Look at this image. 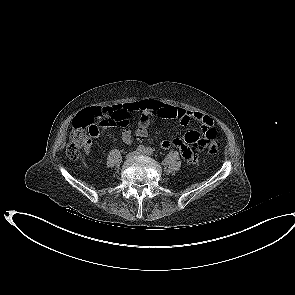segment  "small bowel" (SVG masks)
<instances>
[{"instance_id": "c3829d8e", "label": "small bowel", "mask_w": 295, "mask_h": 295, "mask_svg": "<svg viewBox=\"0 0 295 295\" xmlns=\"http://www.w3.org/2000/svg\"><path fill=\"white\" fill-rule=\"evenodd\" d=\"M109 108L111 109V116L100 119V128L106 130L113 124L121 125L122 122L127 121L134 113L141 112L142 115L135 131L138 137H146L148 135L149 127L155 118L176 121L182 125H187L191 120H196L202 124L203 128L213 127L212 119L202 112L173 107L155 99H143ZM122 126L124 128L121 131V139L124 143L130 144L133 138L132 132L125 125ZM205 141L206 138L203 139L199 132L192 130L183 137L164 139L161 142V147L164 149L175 147L180 151L184 159L194 162L196 156L203 150ZM89 151L90 147L88 146L86 147V152Z\"/></svg>"}]
</instances>
